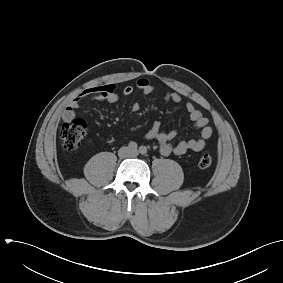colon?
I'll return each instance as SVG.
<instances>
[{
  "mask_svg": "<svg viewBox=\"0 0 283 283\" xmlns=\"http://www.w3.org/2000/svg\"><path fill=\"white\" fill-rule=\"evenodd\" d=\"M87 134V124L81 119L71 122H65L60 128V138L64 148L68 151L77 149ZM213 163V159L208 154H203L198 160L200 168H209Z\"/></svg>",
  "mask_w": 283,
  "mask_h": 283,
  "instance_id": "obj_1",
  "label": "colon"
}]
</instances>
